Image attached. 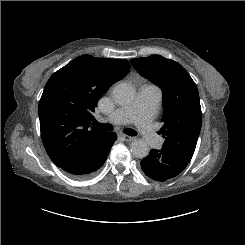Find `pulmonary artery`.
Masks as SVG:
<instances>
[{
	"mask_svg": "<svg viewBox=\"0 0 245 245\" xmlns=\"http://www.w3.org/2000/svg\"><path fill=\"white\" fill-rule=\"evenodd\" d=\"M161 100L162 92L156 85L143 84L139 87L133 101L116 109L103 120L114 124L134 121L146 142H158L159 135L152 120L158 112Z\"/></svg>",
	"mask_w": 245,
	"mask_h": 245,
	"instance_id": "obj_1",
	"label": "pulmonary artery"
}]
</instances>
